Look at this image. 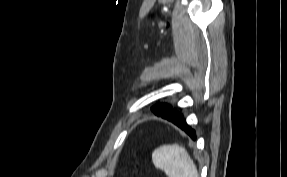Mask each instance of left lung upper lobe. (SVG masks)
Listing matches in <instances>:
<instances>
[{
    "mask_svg": "<svg viewBox=\"0 0 287 177\" xmlns=\"http://www.w3.org/2000/svg\"><path fill=\"white\" fill-rule=\"evenodd\" d=\"M152 111L157 116H162V117L178 113L175 110H173L172 107H170L168 104H163V103H159V104L153 106Z\"/></svg>",
    "mask_w": 287,
    "mask_h": 177,
    "instance_id": "left-lung-upper-lobe-1",
    "label": "left lung upper lobe"
}]
</instances>
